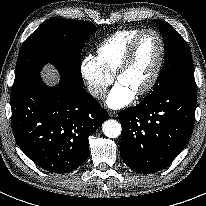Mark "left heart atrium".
<instances>
[{"instance_id":"obj_1","label":"left heart atrium","mask_w":206,"mask_h":206,"mask_svg":"<svg viewBox=\"0 0 206 206\" xmlns=\"http://www.w3.org/2000/svg\"><path fill=\"white\" fill-rule=\"evenodd\" d=\"M135 93L124 84L117 82L109 92L106 104L111 109H120L130 104Z\"/></svg>"}]
</instances>
